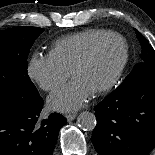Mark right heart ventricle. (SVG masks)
<instances>
[{
	"mask_svg": "<svg viewBox=\"0 0 155 155\" xmlns=\"http://www.w3.org/2000/svg\"><path fill=\"white\" fill-rule=\"evenodd\" d=\"M113 33L106 29H87L56 40L50 55L64 69L71 72L77 62L101 38Z\"/></svg>",
	"mask_w": 155,
	"mask_h": 155,
	"instance_id": "e07e8e85",
	"label": "right heart ventricle"
}]
</instances>
